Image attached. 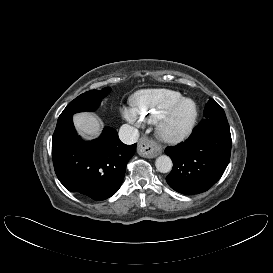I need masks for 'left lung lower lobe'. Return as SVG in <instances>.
Returning a JSON list of instances; mask_svg holds the SVG:
<instances>
[{"mask_svg":"<svg viewBox=\"0 0 273 273\" xmlns=\"http://www.w3.org/2000/svg\"><path fill=\"white\" fill-rule=\"evenodd\" d=\"M231 143L227 119L201 121L185 142L165 149L173 161L168 185L188 195L208 190L230 161Z\"/></svg>","mask_w":273,"mask_h":273,"instance_id":"1","label":"left lung lower lobe"}]
</instances>
